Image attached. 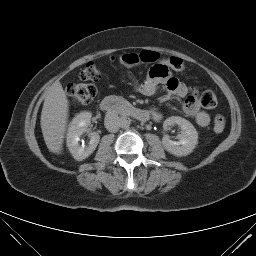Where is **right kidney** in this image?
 Here are the masks:
<instances>
[{"mask_svg": "<svg viewBox=\"0 0 256 256\" xmlns=\"http://www.w3.org/2000/svg\"><path fill=\"white\" fill-rule=\"evenodd\" d=\"M91 113L81 112L77 114L70 122L68 133H67V147L71 152L74 159L82 161L89 157L96 149L100 136L96 132L90 134V141L87 145L82 144L80 146V137L86 132L87 127L91 123Z\"/></svg>", "mask_w": 256, "mask_h": 256, "instance_id": "right-kidney-1", "label": "right kidney"}]
</instances>
